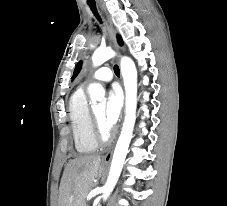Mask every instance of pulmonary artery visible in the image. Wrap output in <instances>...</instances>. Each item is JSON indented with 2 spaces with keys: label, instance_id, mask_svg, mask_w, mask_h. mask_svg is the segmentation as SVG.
<instances>
[{
  "label": "pulmonary artery",
  "instance_id": "obj_1",
  "mask_svg": "<svg viewBox=\"0 0 227 206\" xmlns=\"http://www.w3.org/2000/svg\"><path fill=\"white\" fill-rule=\"evenodd\" d=\"M113 78L112 70L108 67H101L97 71H95L85 82L83 85L88 83L89 81H101V82H109Z\"/></svg>",
  "mask_w": 227,
  "mask_h": 206
}]
</instances>
